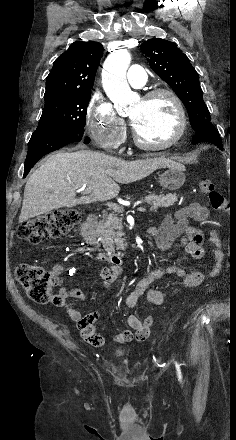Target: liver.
Returning <instances> with one entry per match:
<instances>
[{
    "label": "liver",
    "instance_id": "liver-1",
    "mask_svg": "<svg viewBox=\"0 0 236 440\" xmlns=\"http://www.w3.org/2000/svg\"><path fill=\"white\" fill-rule=\"evenodd\" d=\"M172 163L162 157L129 162L89 150L58 152L27 180L19 222L61 207L112 199L120 191L118 183L136 182ZM79 188L84 196L76 198Z\"/></svg>",
    "mask_w": 236,
    "mask_h": 440
}]
</instances>
